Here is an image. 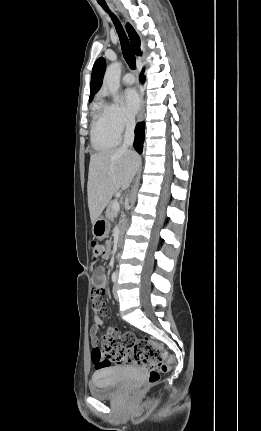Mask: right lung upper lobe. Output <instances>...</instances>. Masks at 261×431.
<instances>
[{
  "label": "right lung upper lobe",
  "instance_id": "right-lung-upper-lobe-1",
  "mask_svg": "<svg viewBox=\"0 0 261 431\" xmlns=\"http://www.w3.org/2000/svg\"><path fill=\"white\" fill-rule=\"evenodd\" d=\"M126 30L128 32L135 54L140 55L141 51H140L139 36L137 35L134 28L129 23H127L126 25ZM105 69H106L105 59L100 57L99 59L96 60L92 69L89 101L92 100L94 94L100 89L102 85Z\"/></svg>",
  "mask_w": 261,
  "mask_h": 431
}]
</instances>
